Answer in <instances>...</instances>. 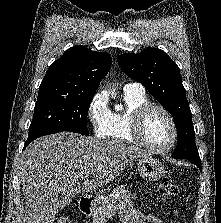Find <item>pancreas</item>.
Segmentation results:
<instances>
[{
    "label": "pancreas",
    "instance_id": "1",
    "mask_svg": "<svg viewBox=\"0 0 221 223\" xmlns=\"http://www.w3.org/2000/svg\"><path fill=\"white\" fill-rule=\"evenodd\" d=\"M119 193V196L113 198V195ZM133 195H131L123 186L117 187L116 190L105 197L99 207L93 212V223H105L113 213L118 210L132 205Z\"/></svg>",
    "mask_w": 221,
    "mask_h": 223
}]
</instances>
